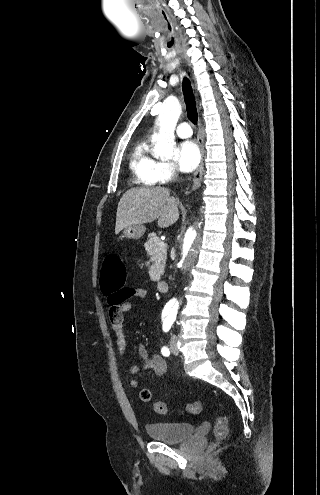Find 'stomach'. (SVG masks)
Instances as JSON below:
<instances>
[{
    "mask_svg": "<svg viewBox=\"0 0 320 495\" xmlns=\"http://www.w3.org/2000/svg\"><path fill=\"white\" fill-rule=\"evenodd\" d=\"M145 231L146 228L143 225H131L124 228L123 234L128 239H140Z\"/></svg>",
    "mask_w": 320,
    "mask_h": 495,
    "instance_id": "0dacf381",
    "label": "stomach"
}]
</instances>
